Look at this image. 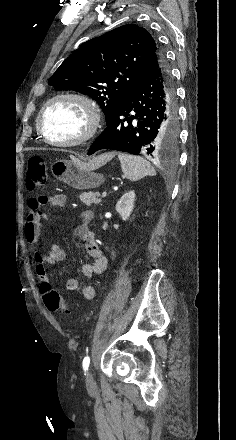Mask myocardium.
<instances>
[{
  "instance_id": "myocardium-1",
  "label": "myocardium",
  "mask_w": 236,
  "mask_h": 440,
  "mask_svg": "<svg viewBox=\"0 0 236 440\" xmlns=\"http://www.w3.org/2000/svg\"><path fill=\"white\" fill-rule=\"evenodd\" d=\"M57 101L74 102L75 104L80 106L84 111L86 115V127L84 132L76 139L69 141H55L47 137L44 129L43 117L45 115L46 110L53 103ZM100 124H101V110L99 105L91 97L83 93L73 92V91L60 92L53 95L43 104L37 117V126L42 139L46 143H49L51 145L58 147H66V148L79 146L93 139L100 128Z\"/></svg>"
}]
</instances>
